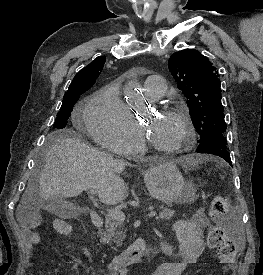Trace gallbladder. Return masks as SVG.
Masks as SVG:
<instances>
[{"label": "gallbladder", "mask_w": 263, "mask_h": 275, "mask_svg": "<svg viewBox=\"0 0 263 275\" xmlns=\"http://www.w3.org/2000/svg\"><path fill=\"white\" fill-rule=\"evenodd\" d=\"M44 208L51 214L63 219H69L77 215L75 206L60 197H49L43 202Z\"/></svg>", "instance_id": "gallbladder-1"}]
</instances>
